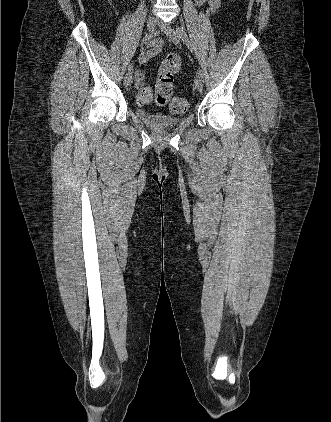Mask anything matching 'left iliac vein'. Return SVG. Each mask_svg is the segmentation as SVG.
<instances>
[{"mask_svg":"<svg viewBox=\"0 0 331 422\" xmlns=\"http://www.w3.org/2000/svg\"><path fill=\"white\" fill-rule=\"evenodd\" d=\"M162 28L173 44L178 45L180 43V34L177 30H174L168 24L163 25ZM194 85L198 91H201L203 89V78L200 74H196L194 78Z\"/></svg>","mask_w":331,"mask_h":422,"instance_id":"1","label":"left iliac vein"}]
</instances>
